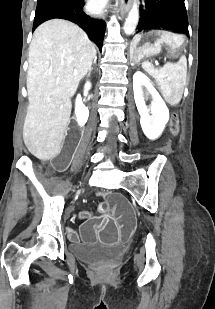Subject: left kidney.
Here are the masks:
<instances>
[{
	"mask_svg": "<svg viewBox=\"0 0 215 309\" xmlns=\"http://www.w3.org/2000/svg\"><path fill=\"white\" fill-rule=\"evenodd\" d=\"M142 86H145L147 92H150L153 100H155L151 104V114L149 112L150 108H147L145 104ZM133 90L136 106L140 114L141 128L147 138L155 140L163 132L165 124L169 120V108H167L156 88L151 84L148 76H145L141 70H137L133 74Z\"/></svg>",
	"mask_w": 215,
	"mask_h": 309,
	"instance_id": "obj_1",
	"label": "left kidney"
}]
</instances>
